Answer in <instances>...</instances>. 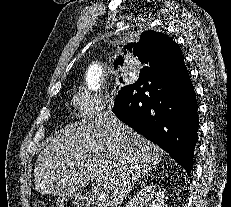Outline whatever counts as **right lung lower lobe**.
I'll return each mask as SVG.
<instances>
[{"label": "right lung lower lobe", "instance_id": "obj_1", "mask_svg": "<svg viewBox=\"0 0 231 207\" xmlns=\"http://www.w3.org/2000/svg\"><path fill=\"white\" fill-rule=\"evenodd\" d=\"M197 109L186 66L164 70L156 65L143 67L135 84L121 88L113 112L168 152L189 175L198 139Z\"/></svg>", "mask_w": 231, "mask_h": 207}]
</instances>
